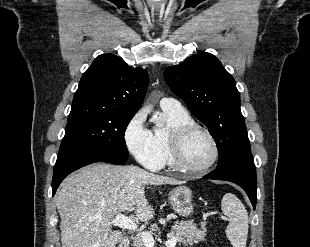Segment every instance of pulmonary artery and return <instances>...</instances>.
Masks as SVG:
<instances>
[{
	"instance_id": "obj_1",
	"label": "pulmonary artery",
	"mask_w": 310,
	"mask_h": 247,
	"mask_svg": "<svg viewBox=\"0 0 310 247\" xmlns=\"http://www.w3.org/2000/svg\"><path fill=\"white\" fill-rule=\"evenodd\" d=\"M160 106L163 110H171L174 112H184L185 108L179 101L174 98H163L160 101Z\"/></svg>"
}]
</instances>
